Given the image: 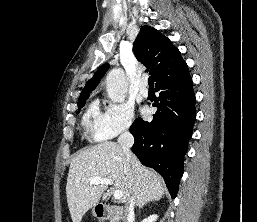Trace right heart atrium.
<instances>
[{
	"label": "right heart atrium",
	"mask_w": 257,
	"mask_h": 222,
	"mask_svg": "<svg viewBox=\"0 0 257 222\" xmlns=\"http://www.w3.org/2000/svg\"><path fill=\"white\" fill-rule=\"evenodd\" d=\"M111 109L114 112L120 113L124 117V124L119 129H114L105 123V117L100 116L97 122L96 133L93 136L94 139L104 140L117 137L118 135L127 133L130 131L134 121V108L128 103L111 104Z\"/></svg>",
	"instance_id": "d8ad5b80"
}]
</instances>
